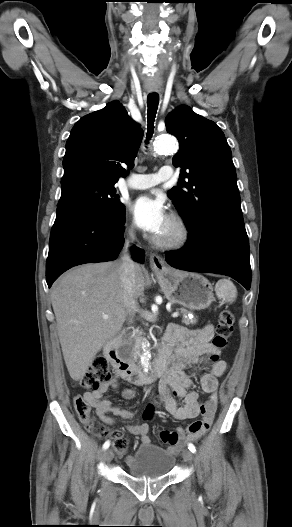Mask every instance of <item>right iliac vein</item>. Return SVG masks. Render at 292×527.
Listing matches in <instances>:
<instances>
[{
    "label": "right iliac vein",
    "mask_w": 292,
    "mask_h": 527,
    "mask_svg": "<svg viewBox=\"0 0 292 527\" xmlns=\"http://www.w3.org/2000/svg\"><path fill=\"white\" fill-rule=\"evenodd\" d=\"M103 457H104V460H105L106 462H110V461L112 460V458H113V453H112V451H111L110 449L106 450V451L104 452Z\"/></svg>",
    "instance_id": "1"
}]
</instances>
